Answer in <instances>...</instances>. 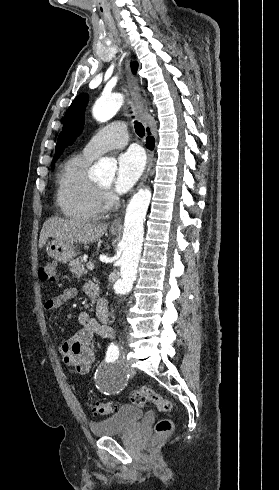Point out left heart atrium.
Returning a JSON list of instances; mask_svg holds the SVG:
<instances>
[{"label":"left heart atrium","mask_w":279,"mask_h":490,"mask_svg":"<svg viewBox=\"0 0 279 490\" xmlns=\"http://www.w3.org/2000/svg\"><path fill=\"white\" fill-rule=\"evenodd\" d=\"M144 171V159L137 150L121 154L117 160V171L114 180V192L122 195L128 192L140 179Z\"/></svg>","instance_id":"obj_1"}]
</instances>
